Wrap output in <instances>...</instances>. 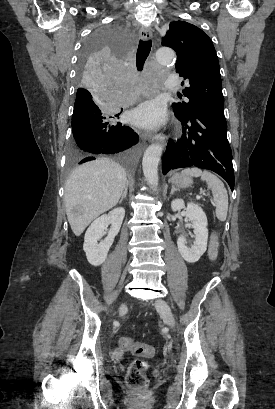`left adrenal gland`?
Here are the masks:
<instances>
[{
	"mask_svg": "<svg viewBox=\"0 0 275 409\" xmlns=\"http://www.w3.org/2000/svg\"><path fill=\"white\" fill-rule=\"evenodd\" d=\"M175 190H179V188H175L174 184H172V188H171L170 194H173V192H175Z\"/></svg>",
	"mask_w": 275,
	"mask_h": 409,
	"instance_id": "a2214340",
	"label": "left adrenal gland"
}]
</instances>
